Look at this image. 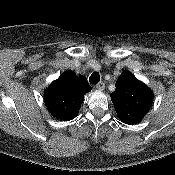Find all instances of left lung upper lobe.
Returning a JSON list of instances; mask_svg holds the SVG:
<instances>
[{"label":"left lung upper lobe","mask_w":175,"mask_h":175,"mask_svg":"<svg viewBox=\"0 0 175 175\" xmlns=\"http://www.w3.org/2000/svg\"><path fill=\"white\" fill-rule=\"evenodd\" d=\"M115 86L111 99L120 120L126 124L140 122L152 106V90L127 70L118 77Z\"/></svg>","instance_id":"left-lung-upper-lobe-1"}]
</instances>
